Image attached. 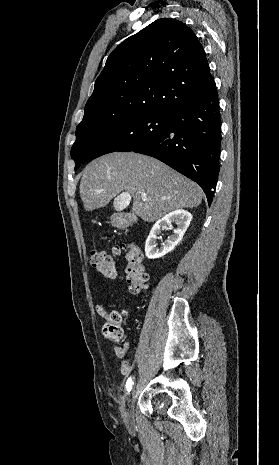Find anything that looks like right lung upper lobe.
I'll list each match as a JSON object with an SVG mask.
<instances>
[{"mask_svg":"<svg viewBox=\"0 0 279 465\" xmlns=\"http://www.w3.org/2000/svg\"><path fill=\"white\" fill-rule=\"evenodd\" d=\"M214 82L205 51L184 23L161 18L108 57L76 129L137 113H168L204 96Z\"/></svg>","mask_w":279,"mask_h":465,"instance_id":"cb5924a9","label":"right lung upper lobe"}]
</instances>
